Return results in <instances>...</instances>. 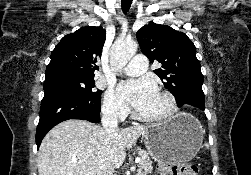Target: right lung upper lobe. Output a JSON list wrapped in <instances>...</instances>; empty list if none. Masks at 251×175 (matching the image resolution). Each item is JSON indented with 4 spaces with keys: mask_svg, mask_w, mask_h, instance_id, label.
Returning <instances> with one entry per match:
<instances>
[{
    "mask_svg": "<svg viewBox=\"0 0 251 175\" xmlns=\"http://www.w3.org/2000/svg\"><path fill=\"white\" fill-rule=\"evenodd\" d=\"M105 39L106 31L93 26L65 35L52 51L46 77L94 76Z\"/></svg>",
    "mask_w": 251,
    "mask_h": 175,
    "instance_id": "obj_1",
    "label": "right lung upper lobe"
}]
</instances>
